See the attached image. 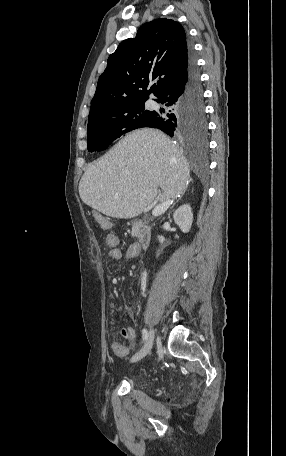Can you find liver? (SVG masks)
Returning a JSON list of instances; mask_svg holds the SVG:
<instances>
[{"instance_id":"1","label":"liver","mask_w":286,"mask_h":456,"mask_svg":"<svg viewBox=\"0 0 286 456\" xmlns=\"http://www.w3.org/2000/svg\"><path fill=\"white\" fill-rule=\"evenodd\" d=\"M190 179L183 150L157 129L126 135L86 169L79 183L82 201L114 218L140 215L157 197L167 201L182 194Z\"/></svg>"}]
</instances>
